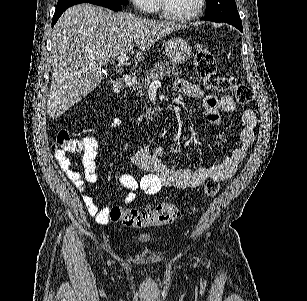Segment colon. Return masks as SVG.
<instances>
[{"label":"colon","mask_w":307,"mask_h":301,"mask_svg":"<svg viewBox=\"0 0 307 301\" xmlns=\"http://www.w3.org/2000/svg\"><path fill=\"white\" fill-rule=\"evenodd\" d=\"M194 63L197 75L206 88L218 92L232 91L237 101L242 105L253 102L254 93L250 87L233 83L229 77L217 73L216 59L206 46L198 45L196 47ZM108 86L112 92L116 93L120 91L121 84L119 80H110ZM55 147L72 154H80L84 148L82 139L74 137L68 130L59 132ZM218 191V181L211 179L204 184L202 194L205 198H212ZM180 215V209L173 204L160 203L154 208L146 210L113 206L110 209L109 218L112 222H119L127 227L140 229L171 224Z\"/></svg>","instance_id":"obj_1"}]
</instances>
